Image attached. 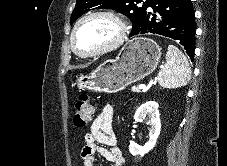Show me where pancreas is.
<instances>
[{
    "label": "pancreas",
    "mask_w": 227,
    "mask_h": 166,
    "mask_svg": "<svg viewBox=\"0 0 227 166\" xmlns=\"http://www.w3.org/2000/svg\"><path fill=\"white\" fill-rule=\"evenodd\" d=\"M138 87H132L133 92H140V90L137 89Z\"/></svg>",
    "instance_id": "obj_1"
}]
</instances>
